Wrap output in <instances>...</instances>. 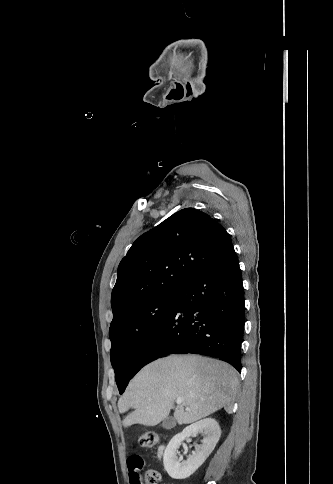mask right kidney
I'll use <instances>...</instances> for the list:
<instances>
[{"instance_id": "right-kidney-1", "label": "right kidney", "mask_w": 333, "mask_h": 484, "mask_svg": "<svg viewBox=\"0 0 333 484\" xmlns=\"http://www.w3.org/2000/svg\"><path fill=\"white\" fill-rule=\"evenodd\" d=\"M198 434L203 436L201 444L196 447L192 455L187 457L186 461L181 462V457L177 458V449L186 438ZM220 436L219 424L211 418L200 420L175 435L167 445L163 456L164 468L168 475L179 480L190 477L214 450Z\"/></svg>"}]
</instances>
